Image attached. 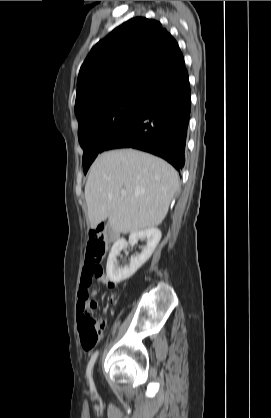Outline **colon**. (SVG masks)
Segmentation results:
<instances>
[{
  "instance_id": "5ec220e1",
  "label": "colon",
  "mask_w": 271,
  "mask_h": 418,
  "mask_svg": "<svg viewBox=\"0 0 271 418\" xmlns=\"http://www.w3.org/2000/svg\"><path fill=\"white\" fill-rule=\"evenodd\" d=\"M107 250V237L103 225L97 226L89 233V241L86 248V266L87 275L85 277L86 285H91L94 279L104 276L100 262ZM88 287L84 291L82 298L88 301ZM79 334L82 347L85 350L92 349L98 342L100 333L105 327V321L97 319L92 315V311L85 306L78 315Z\"/></svg>"
}]
</instances>
